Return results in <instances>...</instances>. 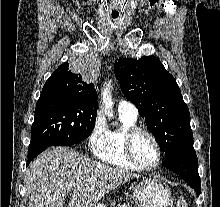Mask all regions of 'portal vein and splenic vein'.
<instances>
[{"label": "portal vein and splenic vein", "instance_id": "1", "mask_svg": "<svg viewBox=\"0 0 220 207\" xmlns=\"http://www.w3.org/2000/svg\"><path fill=\"white\" fill-rule=\"evenodd\" d=\"M74 185H75V183H71V184H70V187H73Z\"/></svg>", "mask_w": 220, "mask_h": 207}]
</instances>
